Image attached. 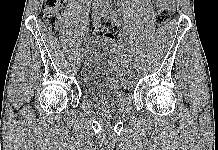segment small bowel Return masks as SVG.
<instances>
[{"label": "small bowel", "instance_id": "c3829d8e", "mask_svg": "<svg viewBox=\"0 0 218 150\" xmlns=\"http://www.w3.org/2000/svg\"><path fill=\"white\" fill-rule=\"evenodd\" d=\"M157 4L163 7H167L170 10L174 9V2L173 0H155Z\"/></svg>", "mask_w": 218, "mask_h": 150}]
</instances>
